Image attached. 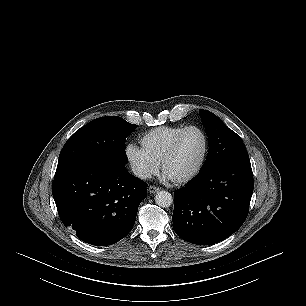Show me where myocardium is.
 I'll use <instances>...</instances> for the list:
<instances>
[{
    "label": "myocardium",
    "instance_id": "1",
    "mask_svg": "<svg viewBox=\"0 0 306 306\" xmlns=\"http://www.w3.org/2000/svg\"><path fill=\"white\" fill-rule=\"evenodd\" d=\"M197 130L201 133V135L203 136L204 139V151H203V155L202 158L198 164V166L195 168V170L190 173L189 175H186L184 177L178 178V179H174L177 183H186L189 181H192L193 179H195L203 170L207 157H208V153H209V138L207 133L205 132V130L203 128H201L200 126L197 125H189L184 127L173 139V141L171 142L169 148L167 149L166 153L164 154L162 160H161V168L163 171H165V166L168 163V161L174 156V154L176 153V150L178 148V145L180 143V140L182 139L183 135L189 131V130Z\"/></svg>",
    "mask_w": 306,
    "mask_h": 306
}]
</instances>
